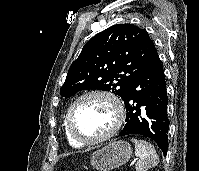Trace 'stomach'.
Wrapping results in <instances>:
<instances>
[{"label": "stomach", "mask_w": 199, "mask_h": 171, "mask_svg": "<svg viewBox=\"0 0 199 171\" xmlns=\"http://www.w3.org/2000/svg\"><path fill=\"white\" fill-rule=\"evenodd\" d=\"M132 155L131 145L126 141H113L91 154V165L98 171H110L126 164Z\"/></svg>", "instance_id": "0dacf381"}]
</instances>
